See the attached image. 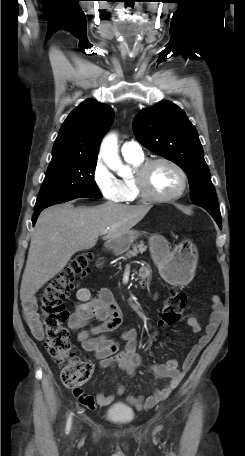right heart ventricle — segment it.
Masks as SVG:
<instances>
[{"mask_svg": "<svg viewBox=\"0 0 245 456\" xmlns=\"http://www.w3.org/2000/svg\"><path fill=\"white\" fill-rule=\"evenodd\" d=\"M125 160L135 169L144 162V156H124ZM123 189V202L130 203L141 198L134 177H127L120 180Z\"/></svg>", "mask_w": 245, "mask_h": 456, "instance_id": "1", "label": "right heart ventricle"}]
</instances>
